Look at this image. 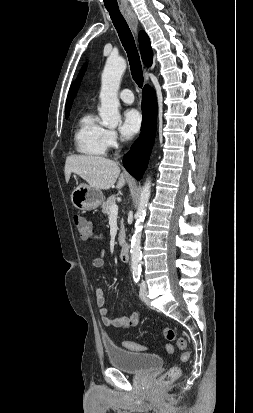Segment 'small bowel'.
I'll return each instance as SVG.
<instances>
[{"label":"small bowel","mask_w":253,"mask_h":413,"mask_svg":"<svg viewBox=\"0 0 253 413\" xmlns=\"http://www.w3.org/2000/svg\"><path fill=\"white\" fill-rule=\"evenodd\" d=\"M92 266L96 269H103L105 266L104 261V251H99L96 253L93 261ZM95 302L99 308V314L104 325L108 328H130L136 326L140 319V313L134 312L130 316H123L112 318L108 314V309L105 306V295L104 291L101 288H96L94 292Z\"/></svg>","instance_id":"obj_1"}]
</instances>
